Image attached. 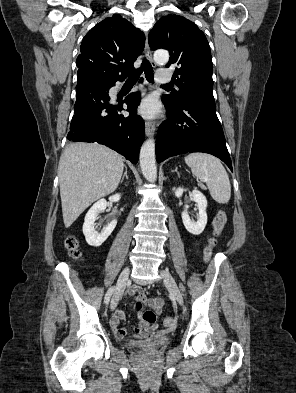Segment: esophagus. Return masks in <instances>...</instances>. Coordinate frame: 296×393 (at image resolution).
Here are the masks:
<instances>
[{
    "label": "esophagus",
    "mask_w": 296,
    "mask_h": 393,
    "mask_svg": "<svg viewBox=\"0 0 296 393\" xmlns=\"http://www.w3.org/2000/svg\"><path fill=\"white\" fill-rule=\"evenodd\" d=\"M144 52H145V55H146L147 59L150 61L151 65L153 67H155L156 63L153 61L152 51H151V49L149 47V43H148V39L147 38H146V41H145ZM154 132H155V125L152 122H149V121L145 122V133H146V135L147 136H152V135H154Z\"/></svg>",
    "instance_id": "34e87169"
}]
</instances>
